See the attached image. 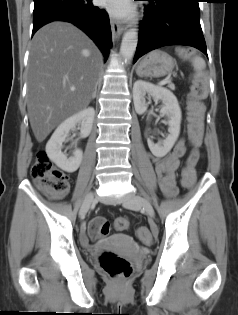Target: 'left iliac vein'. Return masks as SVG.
<instances>
[{
    "instance_id": "4c4485c4",
    "label": "left iliac vein",
    "mask_w": 238,
    "mask_h": 315,
    "mask_svg": "<svg viewBox=\"0 0 238 315\" xmlns=\"http://www.w3.org/2000/svg\"><path fill=\"white\" fill-rule=\"evenodd\" d=\"M122 204L125 208L129 209H137V208H143L146 214L153 219L155 216L154 209L151 205V203L144 197L138 195V194H130L123 198Z\"/></svg>"
}]
</instances>
